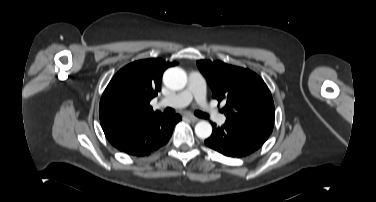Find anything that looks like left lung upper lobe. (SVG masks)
<instances>
[{
	"instance_id": "1",
	"label": "left lung upper lobe",
	"mask_w": 376,
	"mask_h": 202,
	"mask_svg": "<svg viewBox=\"0 0 376 202\" xmlns=\"http://www.w3.org/2000/svg\"><path fill=\"white\" fill-rule=\"evenodd\" d=\"M213 98L225 102L226 121L272 133L275 109L271 93L254 72L221 61H197Z\"/></svg>"
}]
</instances>
